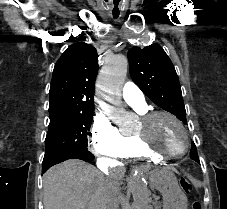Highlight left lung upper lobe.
<instances>
[{
    "label": "left lung upper lobe",
    "instance_id": "1",
    "mask_svg": "<svg viewBox=\"0 0 227 209\" xmlns=\"http://www.w3.org/2000/svg\"><path fill=\"white\" fill-rule=\"evenodd\" d=\"M128 60L131 78L142 92L187 124L179 79L162 47L158 44L143 49L133 47L128 51ZM191 147V159L200 164L195 144L192 143Z\"/></svg>",
    "mask_w": 227,
    "mask_h": 209
}]
</instances>
